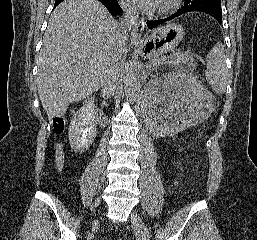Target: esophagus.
<instances>
[{"label":"esophagus","mask_w":257,"mask_h":240,"mask_svg":"<svg viewBox=\"0 0 257 240\" xmlns=\"http://www.w3.org/2000/svg\"><path fill=\"white\" fill-rule=\"evenodd\" d=\"M144 28V19H139L138 21H136L130 35V40L132 43H138L140 41Z\"/></svg>","instance_id":"1"}]
</instances>
